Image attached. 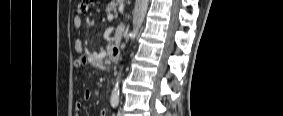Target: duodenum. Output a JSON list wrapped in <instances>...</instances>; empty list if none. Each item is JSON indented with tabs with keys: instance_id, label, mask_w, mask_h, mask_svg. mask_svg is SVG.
<instances>
[{
	"instance_id": "obj_1",
	"label": "duodenum",
	"mask_w": 283,
	"mask_h": 116,
	"mask_svg": "<svg viewBox=\"0 0 283 116\" xmlns=\"http://www.w3.org/2000/svg\"><path fill=\"white\" fill-rule=\"evenodd\" d=\"M120 48L118 46H110L108 57L112 62L119 60Z\"/></svg>"
}]
</instances>
